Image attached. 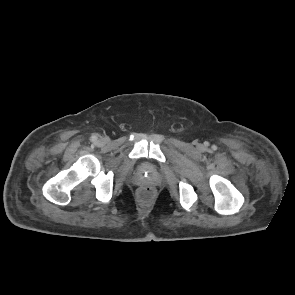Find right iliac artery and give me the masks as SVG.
Here are the masks:
<instances>
[{"mask_svg":"<svg viewBox=\"0 0 295 295\" xmlns=\"http://www.w3.org/2000/svg\"><path fill=\"white\" fill-rule=\"evenodd\" d=\"M91 140H92V141H96V140H97V136H96V135H93V136L91 137Z\"/></svg>","mask_w":295,"mask_h":295,"instance_id":"82829eb1","label":"right iliac artery"}]
</instances>
